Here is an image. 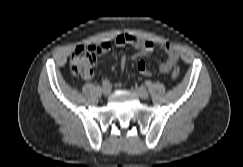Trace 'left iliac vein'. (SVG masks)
Listing matches in <instances>:
<instances>
[{
	"label": "left iliac vein",
	"mask_w": 243,
	"mask_h": 167,
	"mask_svg": "<svg viewBox=\"0 0 243 167\" xmlns=\"http://www.w3.org/2000/svg\"><path fill=\"white\" fill-rule=\"evenodd\" d=\"M134 92L141 99H146L149 96L148 91L144 87H137L134 89Z\"/></svg>",
	"instance_id": "1"
}]
</instances>
